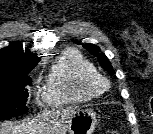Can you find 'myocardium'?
Returning a JSON list of instances; mask_svg holds the SVG:
<instances>
[{
  "label": "myocardium",
  "instance_id": "obj_1",
  "mask_svg": "<svg viewBox=\"0 0 153 134\" xmlns=\"http://www.w3.org/2000/svg\"><path fill=\"white\" fill-rule=\"evenodd\" d=\"M94 84L100 92L106 91L110 87L109 80L99 73L94 78Z\"/></svg>",
  "mask_w": 153,
  "mask_h": 134
}]
</instances>
